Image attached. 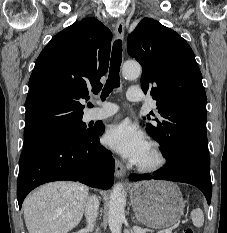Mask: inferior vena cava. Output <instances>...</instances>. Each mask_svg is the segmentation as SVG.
Returning a JSON list of instances; mask_svg holds the SVG:
<instances>
[{
  "instance_id": "inferior-vena-cava-1",
  "label": "inferior vena cava",
  "mask_w": 227,
  "mask_h": 233,
  "mask_svg": "<svg viewBox=\"0 0 227 233\" xmlns=\"http://www.w3.org/2000/svg\"><path fill=\"white\" fill-rule=\"evenodd\" d=\"M99 201L95 196L88 198L85 206V216L87 220V230L92 231L98 215Z\"/></svg>"
}]
</instances>
